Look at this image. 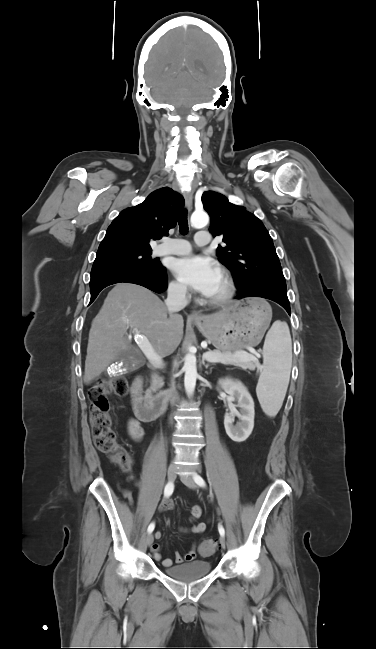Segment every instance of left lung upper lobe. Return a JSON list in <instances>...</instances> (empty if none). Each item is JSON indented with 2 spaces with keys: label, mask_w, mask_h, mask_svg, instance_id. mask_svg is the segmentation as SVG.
Wrapping results in <instances>:
<instances>
[{
  "label": "left lung upper lobe",
  "mask_w": 376,
  "mask_h": 649,
  "mask_svg": "<svg viewBox=\"0 0 376 649\" xmlns=\"http://www.w3.org/2000/svg\"><path fill=\"white\" fill-rule=\"evenodd\" d=\"M202 203L211 217L209 231L223 236L225 245L218 246L217 255L237 276L240 292L260 282L287 292L279 258L263 223L214 191L204 192Z\"/></svg>",
  "instance_id": "1"
}]
</instances>
